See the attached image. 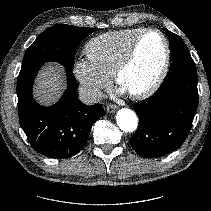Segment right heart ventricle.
Here are the masks:
<instances>
[{
  "instance_id": "e07e8e85",
  "label": "right heart ventricle",
  "mask_w": 211,
  "mask_h": 211,
  "mask_svg": "<svg viewBox=\"0 0 211 211\" xmlns=\"http://www.w3.org/2000/svg\"><path fill=\"white\" fill-rule=\"evenodd\" d=\"M143 29L128 28L98 35L85 45L87 57L100 71L111 77L134 38Z\"/></svg>"
}]
</instances>
